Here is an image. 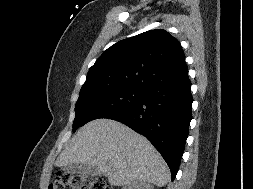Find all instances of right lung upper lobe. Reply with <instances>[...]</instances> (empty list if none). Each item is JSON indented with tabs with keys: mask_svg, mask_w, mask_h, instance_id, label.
<instances>
[{
	"mask_svg": "<svg viewBox=\"0 0 253 189\" xmlns=\"http://www.w3.org/2000/svg\"><path fill=\"white\" fill-rule=\"evenodd\" d=\"M188 78L179 41L163 29L146 31L108 48L89 69L80 93L109 86L146 91Z\"/></svg>",
	"mask_w": 253,
	"mask_h": 189,
	"instance_id": "right-lung-upper-lobe-1",
	"label": "right lung upper lobe"
}]
</instances>
